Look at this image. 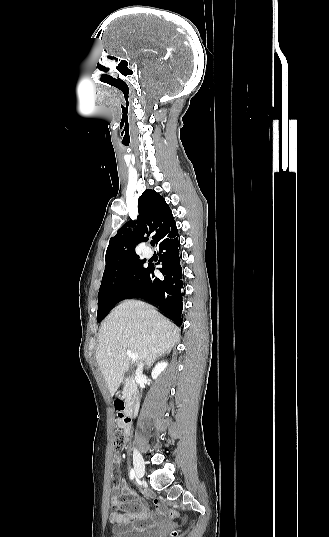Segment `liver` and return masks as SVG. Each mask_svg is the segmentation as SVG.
<instances>
[{
	"mask_svg": "<svg viewBox=\"0 0 329 537\" xmlns=\"http://www.w3.org/2000/svg\"><path fill=\"white\" fill-rule=\"evenodd\" d=\"M180 330L154 307L129 300L115 307L102 322L96 360L111 397L123 381L130 365L126 349L147 365L170 352L179 341Z\"/></svg>",
	"mask_w": 329,
	"mask_h": 537,
	"instance_id": "6515ba94",
	"label": "liver"
}]
</instances>
